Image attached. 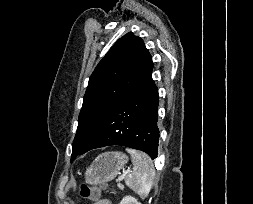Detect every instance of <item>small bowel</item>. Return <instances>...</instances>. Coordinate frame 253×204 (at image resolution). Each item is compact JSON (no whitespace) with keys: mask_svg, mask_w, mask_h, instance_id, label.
<instances>
[{"mask_svg":"<svg viewBox=\"0 0 253 204\" xmlns=\"http://www.w3.org/2000/svg\"><path fill=\"white\" fill-rule=\"evenodd\" d=\"M95 204H112V203L107 199H101L98 200Z\"/></svg>","mask_w":253,"mask_h":204,"instance_id":"1","label":"small bowel"}]
</instances>
